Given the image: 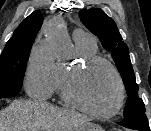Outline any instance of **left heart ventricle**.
Returning a JSON list of instances; mask_svg holds the SVG:
<instances>
[{"instance_id":"b2bd125f","label":"left heart ventricle","mask_w":151,"mask_h":131,"mask_svg":"<svg viewBox=\"0 0 151 131\" xmlns=\"http://www.w3.org/2000/svg\"><path fill=\"white\" fill-rule=\"evenodd\" d=\"M75 92L91 109L108 112L118 98V86L112 72L103 64L85 71L74 85Z\"/></svg>"}]
</instances>
